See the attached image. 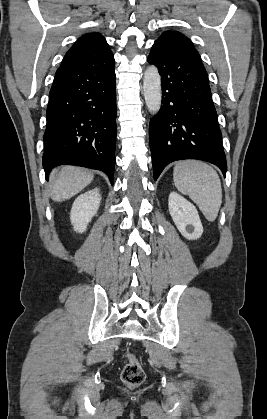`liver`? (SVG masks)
<instances>
[{"instance_id": "6515ba94", "label": "liver", "mask_w": 267, "mask_h": 419, "mask_svg": "<svg viewBox=\"0 0 267 419\" xmlns=\"http://www.w3.org/2000/svg\"><path fill=\"white\" fill-rule=\"evenodd\" d=\"M51 198L56 202L69 199L83 190L93 180V174L83 168L64 166L51 175Z\"/></svg>"}]
</instances>
